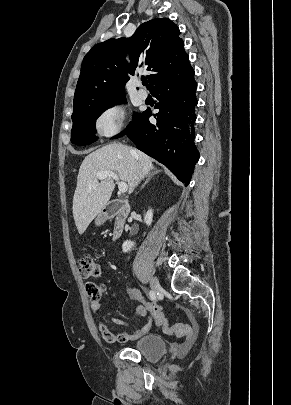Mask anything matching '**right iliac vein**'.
<instances>
[{
	"label": "right iliac vein",
	"mask_w": 291,
	"mask_h": 405,
	"mask_svg": "<svg viewBox=\"0 0 291 405\" xmlns=\"http://www.w3.org/2000/svg\"><path fill=\"white\" fill-rule=\"evenodd\" d=\"M150 287L152 289V292H154L155 294L160 291L161 286H160L159 281L157 280L156 277H152L150 279Z\"/></svg>",
	"instance_id": "obj_1"
}]
</instances>
